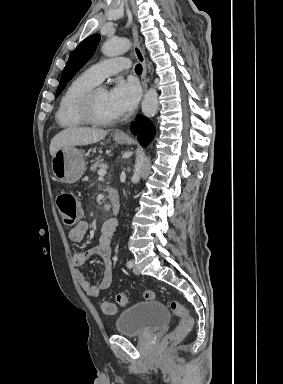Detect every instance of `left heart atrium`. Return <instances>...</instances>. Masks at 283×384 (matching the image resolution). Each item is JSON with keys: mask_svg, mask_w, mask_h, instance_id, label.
Here are the masks:
<instances>
[{"mask_svg": "<svg viewBox=\"0 0 283 384\" xmlns=\"http://www.w3.org/2000/svg\"><path fill=\"white\" fill-rule=\"evenodd\" d=\"M139 98V89L132 82L118 80L108 91V99L113 112L117 116L129 114Z\"/></svg>", "mask_w": 283, "mask_h": 384, "instance_id": "39dd6f15", "label": "left heart atrium"}]
</instances>
